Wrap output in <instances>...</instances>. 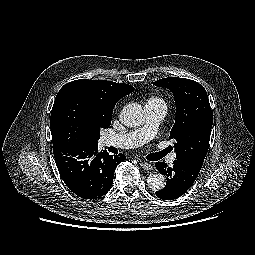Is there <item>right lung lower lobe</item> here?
<instances>
[{
	"label": "right lung lower lobe",
	"instance_id": "right-lung-lower-lobe-1",
	"mask_svg": "<svg viewBox=\"0 0 255 255\" xmlns=\"http://www.w3.org/2000/svg\"><path fill=\"white\" fill-rule=\"evenodd\" d=\"M58 171L77 196L96 199L106 194L113 183L117 165L126 157L123 154L109 155L98 146H53Z\"/></svg>",
	"mask_w": 255,
	"mask_h": 255
}]
</instances>
